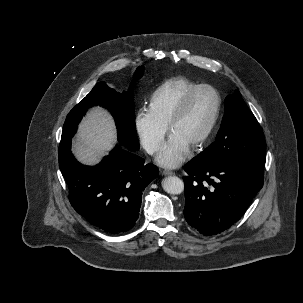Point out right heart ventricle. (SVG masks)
I'll list each match as a JSON object with an SVG mask.
<instances>
[{
  "instance_id": "obj_1",
  "label": "right heart ventricle",
  "mask_w": 303,
  "mask_h": 303,
  "mask_svg": "<svg viewBox=\"0 0 303 303\" xmlns=\"http://www.w3.org/2000/svg\"><path fill=\"white\" fill-rule=\"evenodd\" d=\"M199 85L186 77L178 76L164 81L151 95L149 110L163 124L168 122L177 106L191 89Z\"/></svg>"
}]
</instances>
